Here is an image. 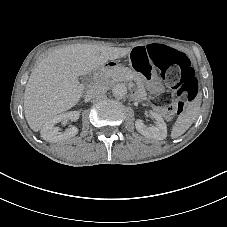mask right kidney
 Segmentation results:
<instances>
[{
	"instance_id": "obj_1",
	"label": "right kidney",
	"mask_w": 227,
	"mask_h": 227,
	"mask_svg": "<svg viewBox=\"0 0 227 227\" xmlns=\"http://www.w3.org/2000/svg\"><path fill=\"white\" fill-rule=\"evenodd\" d=\"M80 118V112L78 110L68 111L62 114H58L48 119L41 128V137L48 142H59L62 140H67L78 133V129L74 126L60 132L59 127L55 125L60 121H71L77 122Z\"/></svg>"
}]
</instances>
